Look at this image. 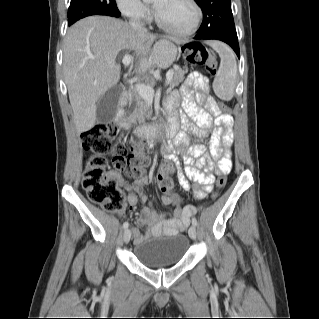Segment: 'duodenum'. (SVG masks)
Wrapping results in <instances>:
<instances>
[{"label":"duodenum","instance_id":"410a0bca","mask_svg":"<svg viewBox=\"0 0 319 319\" xmlns=\"http://www.w3.org/2000/svg\"><path fill=\"white\" fill-rule=\"evenodd\" d=\"M127 102L128 95L124 93L120 96L116 114L117 123L123 127H127L129 123L126 113ZM178 126V120L174 117H170L169 122L164 126H157L151 123L138 124L135 131L139 138L149 143L157 136L174 137Z\"/></svg>","mask_w":319,"mask_h":319}]
</instances>
